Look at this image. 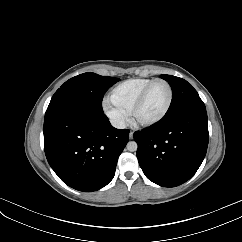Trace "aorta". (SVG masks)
<instances>
[{
	"label": "aorta",
	"mask_w": 242,
	"mask_h": 242,
	"mask_svg": "<svg viewBox=\"0 0 242 242\" xmlns=\"http://www.w3.org/2000/svg\"><path fill=\"white\" fill-rule=\"evenodd\" d=\"M127 150L130 151V152H134L137 150L138 148V145L135 141H130L127 143Z\"/></svg>",
	"instance_id": "1"
}]
</instances>
